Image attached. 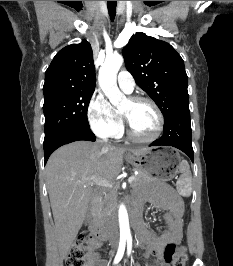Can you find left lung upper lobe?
<instances>
[{
	"instance_id": "obj_1",
	"label": "left lung upper lobe",
	"mask_w": 233,
	"mask_h": 266,
	"mask_svg": "<svg viewBox=\"0 0 233 266\" xmlns=\"http://www.w3.org/2000/svg\"><path fill=\"white\" fill-rule=\"evenodd\" d=\"M122 52L127 70L155 101L165 121L180 107L189 105L184 62L170 44L137 32Z\"/></svg>"
}]
</instances>
